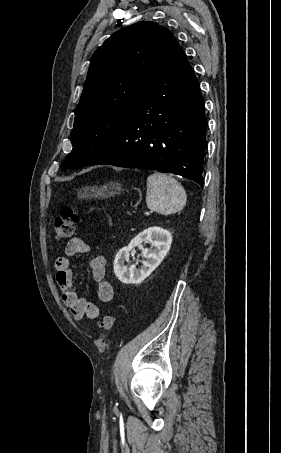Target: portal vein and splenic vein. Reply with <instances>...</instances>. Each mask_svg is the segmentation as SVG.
I'll use <instances>...</instances> for the list:
<instances>
[{"instance_id":"portal-vein-and-splenic-vein-1","label":"portal vein and splenic vein","mask_w":281,"mask_h":453,"mask_svg":"<svg viewBox=\"0 0 281 453\" xmlns=\"http://www.w3.org/2000/svg\"><path fill=\"white\" fill-rule=\"evenodd\" d=\"M135 211L134 210H131V213H134ZM150 213H156V210H149L148 212H146L145 214L146 215H150Z\"/></svg>"}]
</instances>
